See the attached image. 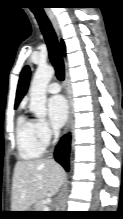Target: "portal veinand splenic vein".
<instances>
[{"label":"portal vein and splenic vein","instance_id":"18ae733b","mask_svg":"<svg viewBox=\"0 0 123 219\" xmlns=\"http://www.w3.org/2000/svg\"><path fill=\"white\" fill-rule=\"evenodd\" d=\"M43 210L44 211H49V208L47 206H44Z\"/></svg>","mask_w":123,"mask_h":219}]
</instances>
